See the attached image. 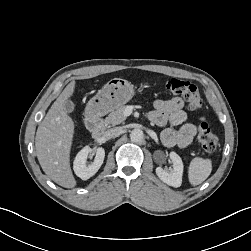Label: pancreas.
Returning <instances> with one entry per match:
<instances>
[{
  "mask_svg": "<svg viewBox=\"0 0 251 251\" xmlns=\"http://www.w3.org/2000/svg\"><path fill=\"white\" fill-rule=\"evenodd\" d=\"M126 108L127 106L122 105L116 108L115 110H112L110 114L106 117L105 124L111 126L121 124L126 119L125 116Z\"/></svg>",
  "mask_w": 251,
  "mask_h": 251,
  "instance_id": "pancreas-1",
  "label": "pancreas"
}]
</instances>
